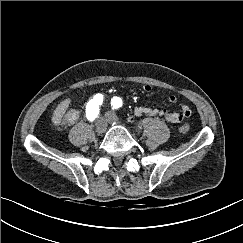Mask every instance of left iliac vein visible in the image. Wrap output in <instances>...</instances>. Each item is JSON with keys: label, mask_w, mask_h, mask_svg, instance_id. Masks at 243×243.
<instances>
[{"label": "left iliac vein", "mask_w": 243, "mask_h": 243, "mask_svg": "<svg viewBox=\"0 0 243 243\" xmlns=\"http://www.w3.org/2000/svg\"><path fill=\"white\" fill-rule=\"evenodd\" d=\"M105 118H106V121L110 124L118 123V118L113 112H106Z\"/></svg>", "instance_id": "1"}]
</instances>
